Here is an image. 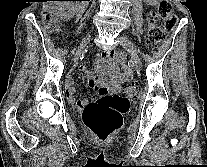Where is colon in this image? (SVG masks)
Returning a JSON list of instances; mask_svg holds the SVG:
<instances>
[{
    "label": "colon",
    "mask_w": 207,
    "mask_h": 167,
    "mask_svg": "<svg viewBox=\"0 0 207 167\" xmlns=\"http://www.w3.org/2000/svg\"><path fill=\"white\" fill-rule=\"evenodd\" d=\"M43 21L50 32L58 29V22L52 8L46 5L43 9ZM177 25L170 0H160L148 18V41L152 46L161 44L165 32L172 31ZM112 54V52H106ZM116 58L122 62L123 56ZM138 96V86L125 82L118 94H105L89 103L83 111V122L93 135L106 141L110 135L121 127L123 116L130 108V100Z\"/></svg>",
    "instance_id": "colon-1"
}]
</instances>
